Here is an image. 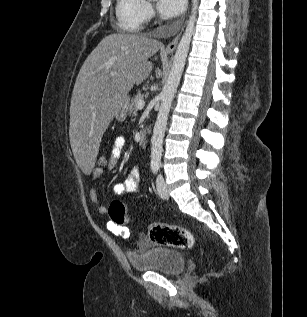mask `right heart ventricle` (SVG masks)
Returning <instances> with one entry per match:
<instances>
[{
    "mask_svg": "<svg viewBox=\"0 0 307 317\" xmlns=\"http://www.w3.org/2000/svg\"><path fill=\"white\" fill-rule=\"evenodd\" d=\"M144 0H117L116 17L119 27L127 32H138L145 21Z\"/></svg>",
    "mask_w": 307,
    "mask_h": 317,
    "instance_id": "1",
    "label": "right heart ventricle"
}]
</instances>
